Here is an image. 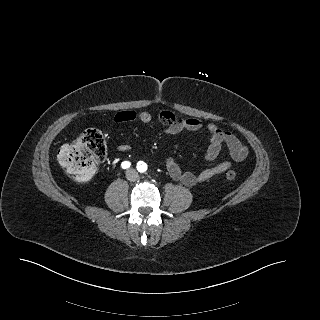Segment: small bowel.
<instances>
[{"label":"small bowel","mask_w":320,"mask_h":320,"mask_svg":"<svg viewBox=\"0 0 320 320\" xmlns=\"http://www.w3.org/2000/svg\"><path fill=\"white\" fill-rule=\"evenodd\" d=\"M164 125L163 133L175 135L182 131H198L203 128V123L196 118H185L176 112L163 110L158 116ZM152 117L149 112L141 111L136 113L133 110L119 111L114 116V121L118 124L139 120L142 123H149ZM209 133V146L204 158L208 162L214 161L225 146L231 156L232 161L240 162L247 156V147L231 132L221 129L216 124L210 123L206 126ZM117 149L121 152L129 150L126 144H120ZM232 161L225 160L212 167L206 168L198 173L190 170H183L177 161L169 156L165 160V167L171 178L181 182L183 185L192 187L194 185L208 181L209 179L228 171L232 166Z\"/></svg>","instance_id":"small-bowel-1"}]
</instances>
